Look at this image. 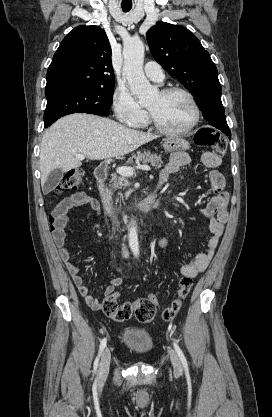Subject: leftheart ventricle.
Instances as JSON below:
<instances>
[{
	"instance_id": "left-heart-ventricle-1",
	"label": "left heart ventricle",
	"mask_w": 272,
	"mask_h": 417,
	"mask_svg": "<svg viewBox=\"0 0 272 417\" xmlns=\"http://www.w3.org/2000/svg\"><path fill=\"white\" fill-rule=\"evenodd\" d=\"M148 110L162 126L173 130L187 127L194 116L191 103L182 94L164 97L159 93L148 106Z\"/></svg>"
}]
</instances>
